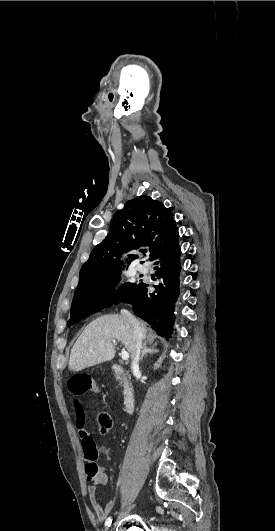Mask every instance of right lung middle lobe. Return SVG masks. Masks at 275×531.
Instances as JSON below:
<instances>
[{"label": "right lung middle lobe", "mask_w": 275, "mask_h": 531, "mask_svg": "<svg viewBox=\"0 0 275 531\" xmlns=\"http://www.w3.org/2000/svg\"><path fill=\"white\" fill-rule=\"evenodd\" d=\"M121 280V269L95 277L76 289L71 305L72 326L88 315L111 304L124 302L137 283H124L117 291L114 287Z\"/></svg>", "instance_id": "right-lung-middle-lobe-1"}]
</instances>
